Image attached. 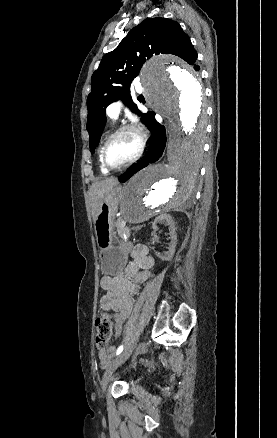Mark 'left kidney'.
I'll return each instance as SVG.
<instances>
[{"label":"left kidney","instance_id":"5707ae66","mask_svg":"<svg viewBox=\"0 0 277 438\" xmlns=\"http://www.w3.org/2000/svg\"><path fill=\"white\" fill-rule=\"evenodd\" d=\"M160 222H167V226H169V236L171 242L168 248L169 252H165V254H163V256H159V258H161V260H165V262H170L175 254V248L177 244V236L175 232L176 228L171 214H160L158 218H155L152 224L153 230H156L157 224H160Z\"/></svg>","mask_w":277,"mask_h":438}]
</instances>
